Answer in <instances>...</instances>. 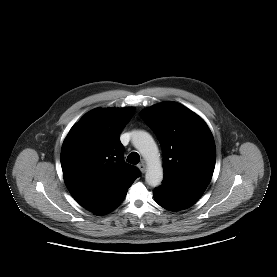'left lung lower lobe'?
Returning a JSON list of instances; mask_svg holds the SVG:
<instances>
[{
    "instance_id": "0a47b994",
    "label": "left lung lower lobe",
    "mask_w": 277,
    "mask_h": 277,
    "mask_svg": "<svg viewBox=\"0 0 277 277\" xmlns=\"http://www.w3.org/2000/svg\"><path fill=\"white\" fill-rule=\"evenodd\" d=\"M203 193L172 188L162 184L155 188V201L163 208L178 211L192 206Z\"/></svg>"
}]
</instances>
